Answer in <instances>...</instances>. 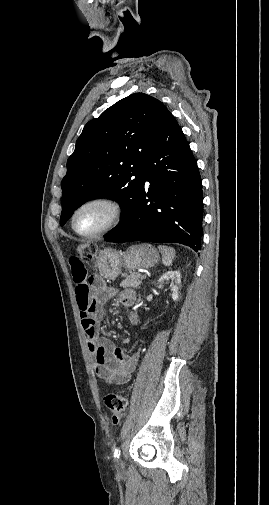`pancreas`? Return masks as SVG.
I'll list each match as a JSON object with an SVG mask.
<instances>
[{
    "mask_svg": "<svg viewBox=\"0 0 269 505\" xmlns=\"http://www.w3.org/2000/svg\"><path fill=\"white\" fill-rule=\"evenodd\" d=\"M141 274L134 272L127 276L120 284L121 287L123 288H137L140 287L142 280H141Z\"/></svg>",
    "mask_w": 269,
    "mask_h": 505,
    "instance_id": "cf45deb5",
    "label": "pancreas"
}]
</instances>
